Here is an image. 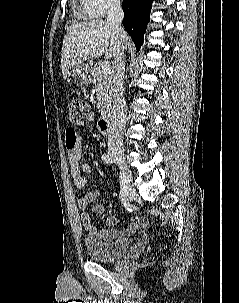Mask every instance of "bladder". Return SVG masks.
Masks as SVG:
<instances>
[{
	"instance_id": "1",
	"label": "bladder",
	"mask_w": 239,
	"mask_h": 303,
	"mask_svg": "<svg viewBox=\"0 0 239 303\" xmlns=\"http://www.w3.org/2000/svg\"><path fill=\"white\" fill-rule=\"evenodd\" d=\"M131 245V239L120 240H92L84 239V247L93 261L110 262L125 255Z\"/></svg>"
}]
</instances>
